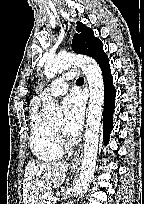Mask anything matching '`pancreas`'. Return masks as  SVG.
Wrapping results in <instances>:
<instances>
[{
  "label": "pancreas",
  "mask_w": 144,
  "mask_h": 204,
  "mask_svg": "<svg viewBox=\"0 0 144 204\" xmlns=\"http://www.w3.org/2000/svg\"><path fill=\"white\" fill-rule=\"evenodd\" d=\"M54 193L52 191H47V192H44L41 197H40V200L38 202V204H48V197L50 196H53ZM51 204H54V202H52Z\"/></svg>",
  "instance_id": "cf45deb5"
}]
</instances>
